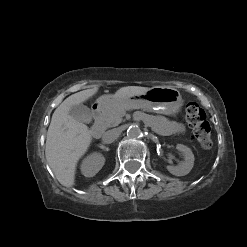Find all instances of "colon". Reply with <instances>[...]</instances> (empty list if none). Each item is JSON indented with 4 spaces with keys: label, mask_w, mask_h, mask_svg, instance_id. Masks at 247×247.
Here are the masks:
<instances>
[{
    "label": "colon",
    "mask_w": 247,
    "mask_h": 247,
    "mask_svg": "<svg viewBox=\"0 0 247 247\" xmlns=\"http://www.w3.org/2000/svg\"><path fill=\"white\" fill-rule=\"evenodd\" d=\"M186 121L192 128L193 134L199 144L208 149L212 146L211 127L206 119L205 111L195 102L186 106Z\"/></svg>",
    "instance_id": "obj_1"
}]
</instances>
